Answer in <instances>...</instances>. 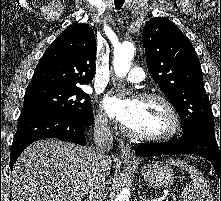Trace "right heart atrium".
Masks as SVG:
<instances>
[{
	"mask_svg": "<svg viewBox=\"0 0 221 201\" xmlns=\"http://www.w3.org/2000/svg\"><path fill=\"white\" fill-rule=\"evenodd\" d=\"M95 124L97 127L101 128V129H106L108 127V119L102 111H99L96 114Z\"/></svg>",
	"mask_w": 221,
	"mask_h": 201,
	"instance_id": "1",
	"label": "right heart atrium"
}]
</instances>
